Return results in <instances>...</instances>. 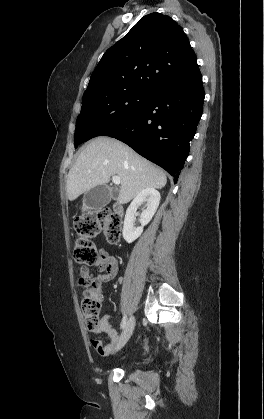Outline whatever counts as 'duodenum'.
Returning <instances> with one entry per match:
<instances>
[{
	"label": "duodenum",
	"instance_id": "duodenum-1",
	"mask_svg": "<svg viewBox=\"0 0 264 419\" xmlns=\"http://www.w3.org/2000/svg\"><path fill=\"white\" fill-rule=\"evenodd\" d=\"M114 211H115V213H117V214H122V206L121 205H119V204H117V205H115L114 206Z\"/></svg>",
	"mask_w": 264,
	"mask_h": 419
}]
</instances>
